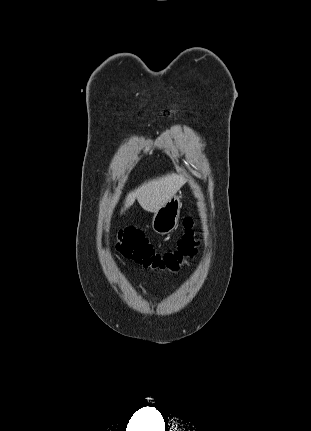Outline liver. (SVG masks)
<instances>
[{"mask_svg": "<svg viewBox=\"0 0 311 431\" xmlns=\"http://www.w3.org/2000/svg\"><path fill=\"white\" fill-rule=\"evenodd\" d=\"M183 184H185L184 176L174 174V172L160 176V178H154V180H146L141 186L128 192L120 214H124L126 210H129L135 200L145 212H158L164 204L171 200L172 196L179 192Z\"/></svg>", "mask_w": 311, "mask_h": 431, "instance_id": "6515ba94", "label": "liver"}]
</instances>
